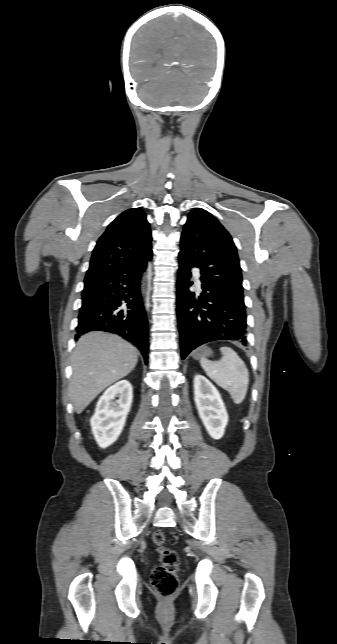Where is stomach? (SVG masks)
Returning <instances> with one entry per match:
<instances>
[{
    "mask_svg": "<svg viewBox=\"0 0 337 644\" xmlns=\"http://www.w3.org/2000/svg\"><path fill=\"white\" fill-rule=\"evenodd\" d=\"M211 355H212V350L210 348H207V347L200 348V349H198L197 351H195L193 353V357L195 359H202L203 357L206 358V357H209Z\"/></svg>",
    "mask_w": 337,
    "mask_h": 644,
    "instance_id": "obj_1",
    "label": "stomach"
}]
</instances>
